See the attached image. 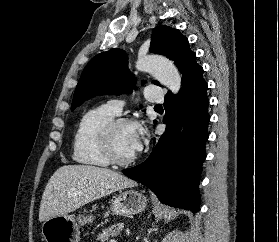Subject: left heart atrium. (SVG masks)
<instances>
[{
    "instance_id": "obj_1",
    "label": "left heart atrium",
    "mask_w": 279,
    "mask_h": 242,
    "mask_svg": "<svg viewBox=\"0 0 279 242\" xmlns=\"http://www.w3.org/2000/svg\"><path fill=\"white\" fill-rule=\"evenodd\" d=\"M146 137V131L141 126H136V134H135V151H140L143 147L144 141Z\"/></svg>"
}]
</instances>
